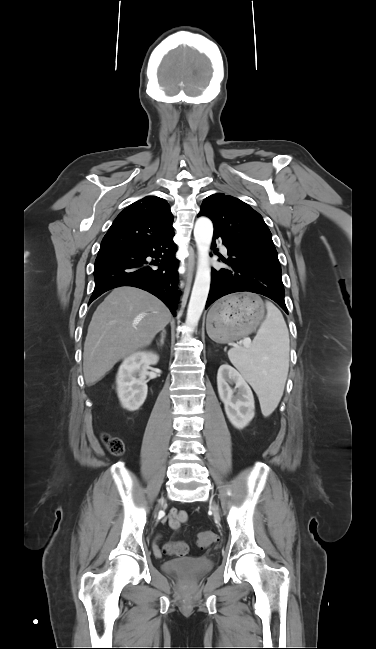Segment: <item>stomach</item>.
I'll list each match as a JSON object with an SVG mask.
<instances>
[{"mask_svg": "<svg viewBox=\"0 0 376 649\" xmlns=\"http://www.w3.org/2000/svg\"><path fill=\"white\" fill-rule=\"evenodd\" d=\"M265 315L261 298L253 293L229 295L218 301L207 316V333L215 342L226 343L249 335Z\"/></svg>", "mask_w": 376, "mask_h": 649, "instance_id": "obj_1", "label": "stomach"}]
</instances>
